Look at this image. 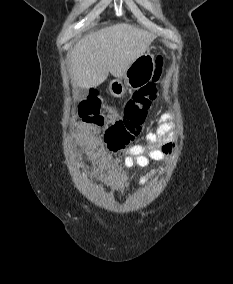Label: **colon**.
<instances>
[{
	"label": "colon",
	"mask_w": 233,
	"mask_h": 284,
	"mask_svg": "<svg viewBox=\"0 0 233 284\" xmlns=\"http://www.w3.org/2000/svg\"><path fill=\"white\" fill-rule=\"evenodd\" d=\"M164 68V58L157 55L154 62L152 81L141 86L126 102L122 115L112 122L104 132V142L111 152H118L129 145L140 133L145 122L147 111L158 94ZM82 120L96 127L104 125L101 114V101L96 96H90L79 107Z\"/></svg>",
	"instance_id": "1"
}]
</instances>
